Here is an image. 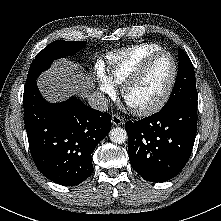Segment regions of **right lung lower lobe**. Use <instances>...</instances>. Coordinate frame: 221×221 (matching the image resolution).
<instances>
[{"label":"right lung lower lobe","instance_id":"98d812e1","mask_svg":"<svg viewBox=\"0 0 221 221\" xmlns=\"http://www.w3.org/2000/svg\"><path fill=\"white\" fill-rule=\"evenodd\" d=\"M23 105L29 147L38 170L65 186L87 179L93 172L91 154L110 131V114L75 97L48 103L36 81L25 85Z\"/></svg>","mask_w":221,"mask_h":221}]
</instances>
